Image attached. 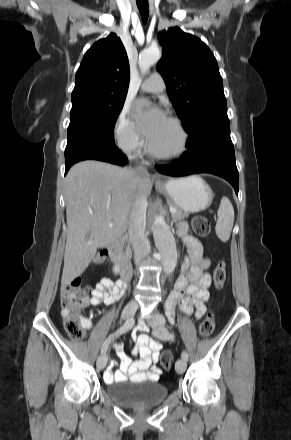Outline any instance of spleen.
Instances as JSON below:
<instances>
[{"mask_svg": "<svg viewBox=\"0 0 291 440\" xmlns=\"http://www.w3.org/2000/svg\"><path fill=\"white\" fill-rule=\"evenodd\" d=\"M216 234L222 242H227L230 238L234 223V209L227 197H223L217 211Z\"/></svg>", "mask_w": 291, "mask_h": 440, "instance_id": "1", "label": "spleen"}]
</instances>
